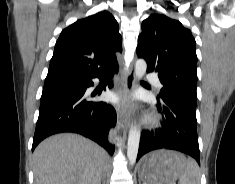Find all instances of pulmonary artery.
Segmentation results:
<instances>
[{"label": "pulmonary artery", "mask_w": 235, "mask_h": 184, "mask_svg": "<svg viewBox=\"0 0 235 184\" xmlns=\"http://www.w3.org/2000/svg\"><path fill=\"white\" fill-rule=\"evenodd\" d=\"M149 78H150V80L156 85L157 88H160V87H161V84H160V82H159V80H158V78H157L156 75L150 74V75H149Z\"/></svg>", "instance_id": "e3ab8cb5"}]
</instances>
